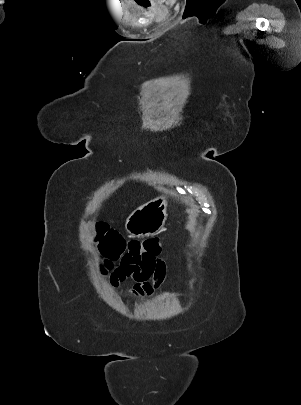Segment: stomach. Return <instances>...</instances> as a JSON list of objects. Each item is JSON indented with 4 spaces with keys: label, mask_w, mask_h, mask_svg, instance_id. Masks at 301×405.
<instances>
[{
    "label": "stomach",
    "mask_w": 301,
    "mask_h": 405,
    "mask_svg": "<svg viewBox=\"0 0 301 405\" xmlns=\"http://www.w3.org/2000/svg\"><path fill=\"white\" fill-rule=\"evenodd\" d=\"M166 199L156 198L132 212L125 229L132 237L154 235L163 225L166 216Z\"/></svg>",
    "instance_id": "1"
}]
</instances>
